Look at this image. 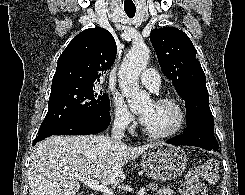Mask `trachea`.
Wrapping results in <instances>:
<instances>
[{"instance_id": "obj_1", "label": "trachea", "mask_w": 245, "mask_h": 195, "mask_svg": "<svg viewBox=\"0 0 245 195\" xmlns=\"http://www.w3.org/2000/svg\"><path fill=\"white\" fill-rule=\"evenodd\" d=\"M124 10H125V12H126V14H127V16L129 18H133L134 17L135 12H136V8L135 7L124 8Z\"/></svg>"}]
</instances>
